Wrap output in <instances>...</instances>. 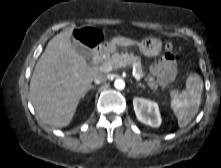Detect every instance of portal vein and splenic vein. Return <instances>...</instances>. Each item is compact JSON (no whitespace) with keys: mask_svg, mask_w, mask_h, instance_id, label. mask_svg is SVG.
<instances>
[{"mask_svg":"<svg viewBox=\"0 0 221 168\" xmlns=\"http://www.w3.org/2000/svg\"><path fill=\"white\" fill-rule=\"evenodd\" d=\"M120 64H121V63H120ZM121 65L125 67V66H127L128 64H127V63H122ZM113 68H114V66H111V65H109V66H107V65H102V66L99 67V70L102 71V72H110ZM133 77H134L137 81H139L140 78H141L135 71H133Z\"/></svg>","mask_w":221,"mask_h":168,"instance_id":"1","label":"portal vein and splenic vein"}]
</instances>
